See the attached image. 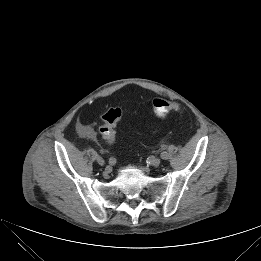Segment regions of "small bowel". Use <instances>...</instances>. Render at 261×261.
Here are the masks:
<instances>
[{
  "label": "small bowel",
  "instance_id": "small-bowel-1",
  "mask_svg": "<svg viewBox=\"0 0 261 261\" xmlns=\"http://www.w3.org/2000/svg\"><path fill=\"white\" fill-rule=\"evenodd\" d=\"M77 131L78 134L83 138L91 140L96 138V131L91 126L85 125L83 123L77 124Z\"/></svg>",
  "mask_w": 261,
  "mask_h": 261
}]
</instances>
